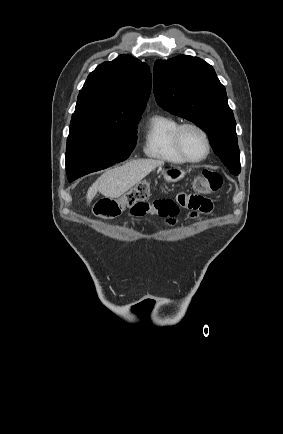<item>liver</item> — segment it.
Here are the masks:
<instances>
[{"label": "liver", "mask_w": 283, "mask_h": 434, "mask_svg": "<svg viewBox=\"0 0 283 434\" xmlns=\"http://www.w3.org/2000/svg\"><path fill=\"white\" fill-rule=\"evenodd\" d=\"M162 164L163 161L159 160L139 159L106 171L88 189L86 195L88 204L97 192L105 197L119 198Z\"/></svg>", "instance_id": "1"}]
</instances>
